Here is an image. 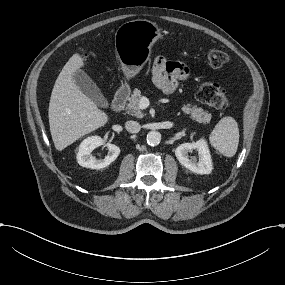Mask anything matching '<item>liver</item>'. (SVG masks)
Masks as SVG:
<instances>
[{"mask_svg":"<svg viewBox=\"0 0 285 285\" xmlns=\"http://www.w3.org/2000/svg\"><path fill=\"white\" fill-rule=\"evenodd\" d=\"M84 67V56L74 53L61 70L51 94L49 124L58 152L110 121V116L100 110L76 84L75 75Z\"/></svg>","mask_w":285,"mask_h":285,"instance_id":"6515ba94","label":"liver"}]
</instances>
